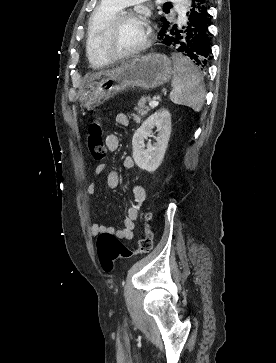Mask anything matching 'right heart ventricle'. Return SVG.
I'll return each mask as SVG.
<instances>
[{
    "mask_svg": "<svg viewBox=\"0 0 276 363\" xmlns=\"http://www.w3.org/2000/svg\"><path fill=\"white\" fill-rule=\"evenodd\" d=\"M120 9L114 2L102 0L89 20L87 56L93 67H106L112 62L103 54L99 38L104 26Z\"/></svg>",
    "mask_w": 276,
    "mask_h": 363,
    "instance_id": "obj_1",
    "label": "right heart ventricle"
}]
</instances>
